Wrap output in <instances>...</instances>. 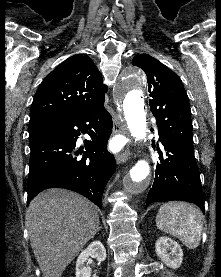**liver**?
<instances>
[{"label": "liver", "mask_w": 221, "mask_h": 277, "mask_svg": "<svg viewBox=\"0 0 221 277\" xmlns=\"http://www.w3.org/2000/svg\"><path fill=\"white\" fill-rule=\"evenodd\" d=\"M30 244L43 277H61L99 228L98 208L64 189L37 195L26 210Z\"/></svg>", "instance_id": "obj_1"}]
</instances>
